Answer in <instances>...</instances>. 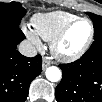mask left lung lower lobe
Instances as JSON below:
<instances>
[{"mask_svg": "<svg viewBox=\"0 0 102 102\" xmlns=\"http://www.w3.org/2000/svg\"><path fill=\"white\" fill-rule=\"evenodd\" d=\"M63 77L56 87L58 102H102V38L77 61L60 64Z\"/></svg>", "mask_w": 102, "mask_h": 102, "instance_id": "obj_1", "label": "left lung lower lobe"}]
</instances>
